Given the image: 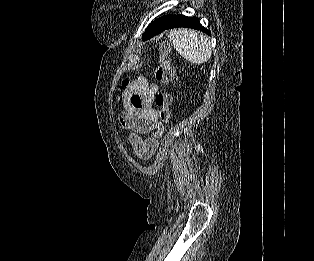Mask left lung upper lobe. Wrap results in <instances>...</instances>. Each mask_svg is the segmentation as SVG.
<instances>
[{"mask_svg": "<svg viewBox=\"0 0 314 261\" xmlns=\"http://www.w3.org/2000/svg\"><path fill=\"white\" fill-rule=\"evenodd\" d=\"M173 16L174 15L162 16L150 23L143 34L142 40H148L152 38L165 24H167L172 19Z\"/></svg>", "mask_w": 314, "mask_h": 261, "instance_id": "obj_1", "label": "left lung upper lobe"}]
</instances>
